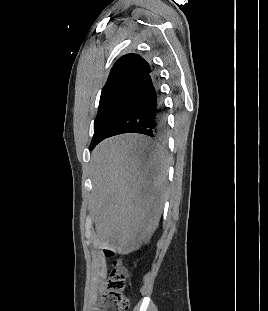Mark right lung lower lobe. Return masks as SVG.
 I'll return each mask as SVG.
<instances>
[{"label":"right lung lower lobe","mask_w":268,"mask_h":311,"mask_svg":"<svg viewBox=\"0 0 268 311\" xmlns=\"http://www.w3.org/2000/svg\"><path fill=\"white\" fill-rule=\"evenodd\" d=\"M164 106L158 89V79L151 69L136 84L133 94L106 128L101 139L123 133H140L161 139L166 132ZM97 144L90 147L92 150Z\"/></svg>","instance_id":"98d812e1"}]
</instances>
